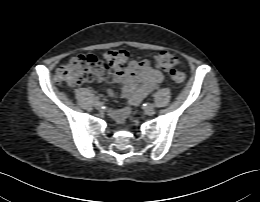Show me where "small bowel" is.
<instances>
[{"label":"small bowel","instance_id":"obj_1","mask_svg":"<svg viewBox=\"0 0 260 202\" xmlns=\"http://www.w3.org/2000/svg\"><path fill=\"white\" fill-rule=\"evenodd\" d=\"M162 72L153 67L148 60H132L126 67L106 70L99 80L114 82L122 88L124 99L131 105L140 104L162 81ZM109 96L114 92L107 89ZM130 114V108L125 107L112 112L117 122H123Z\"/></svg>","mask_w":260,"mask_h":202}]
</instances>
